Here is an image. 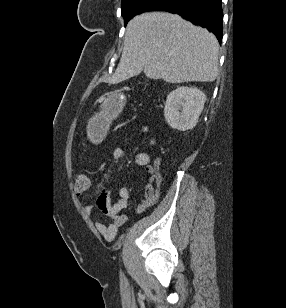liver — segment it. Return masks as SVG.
I'll list each match as a JSON object with an SVG mask.
<instances>
[{"instance_id":"1","label":"liver","mask_w":286,"mask_h":308,"mask_svg":"<svg viewBox=\"0 0 286 308\" xmlns=\"http://www.w3.org/2000/svg\"><path fill=\"white\" fill-rule=\"evenodd\" d=\"M218 56V41L206 29L178 15L143 13L129 21L120 62L108 81L117 84L144 71L169 83L212 82Z\"/></svg>"}]
</instances>
